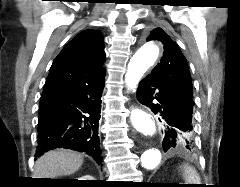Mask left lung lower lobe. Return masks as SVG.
Returning <instances> with one entry per match:
<instances>
[{
    "label": "left lung lower lobe",
    "mask_w": 240,
    "mask_h": 187,
    "mask_svg": "<svg viewBox=\"0 0 240 187\" xmlns=\"http://www.w3.org/2000/svg\"><path fill=\"white\" fill-rule=\"evenodd\" d=\"M138 101L149 107L154 114L162 117L164 130L163 148H180L188 152L194 150V140L183 139L186 133L192 132V114L194 101L192 98L175 93L162 86L150 75L146 76L137 89ZM157 100L159 103H153Z\"/></svg>",
    "instance_id": "left-lung-lower-lobe-1"
}]
</instances>
